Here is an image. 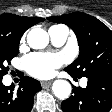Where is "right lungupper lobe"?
<instances>
[{
	"label": "right lung upper lobe",
	"mask_w": 112,
	"mask_h": 112,
	"mask_svg": "<svg viewBox=\"0 0 112 112\" xmlns=\"http://www.w3.org/2000/svg\"><path fill=\"white\" fill-rule=\"evenodd\" d=\"M42 21L44 19L40 17L31 18L10 13L2 14L0 15V38H21L28 28Z\"/></svg>",
	"instance_id": "cb5924a9"
}]
</instances>
